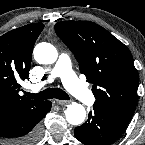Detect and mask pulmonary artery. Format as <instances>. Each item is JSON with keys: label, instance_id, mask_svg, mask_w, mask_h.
I'll use <instances>...</instances> for the list:
<instances>
[{"label": "pulmonary artery", "instance_id": "1", "mask_svg": "<svg viewBox=\"0 0 145 145\" xmlns=\"http://www.w3.org/2000/svg\"><path fill=\"white\" fill-rule=\"evenodd\" d=\"M59 77L67 90L84 104L93 102L94 96L92 92L83 85L72 70L71 60L66 53H62L52 70L51 74L40 84L35 85L34 89L51 83L54 78Z\"/></svg>", "mask_w": 145, "mask_h": 145}]
</instances>
